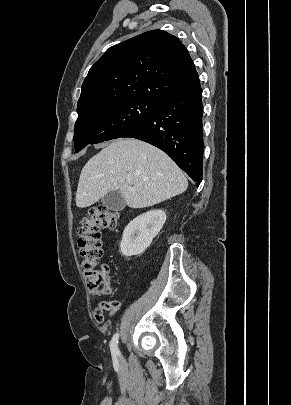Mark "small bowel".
<instances>
[{"instance_id": "small-bowel-1", "label": "small bowel", "mask_w": 291, "mask_h": 405, "mask_svg": "<svg viewBox=\"0 0 291 405\" xmlns=\"http://www.w3.org/2000/svg\"><path fill=\"white\" fill-rule=\"evenodd\" d=\"M120 305L116 301H111V302H105L99 305V307L95 310L94 312V318L97 322H102L104 319L103 311L104 310H109L110 311V316L114 315Z\"/></svg>"}]
</instances>
